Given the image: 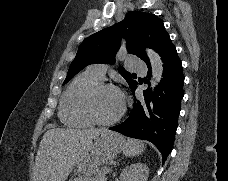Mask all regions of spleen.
<instances>
[{
  "label": "spleen",
  "instance_id": "obj_1",
  "mask_svg": "<svg viewBox=\"0 0 228 181\" xmlns=\"http://www.w3.org/2000/svg\"><path fill=\"white\" fill-rule=\"evenodd\" d=\"M145 151V145L143 141H137V139H128L123 143V153L126 157H135V155H141Z\"/></svg>",
  "mask_w": 228,
  "mask_h": 181
}]
</instances>
